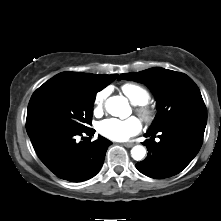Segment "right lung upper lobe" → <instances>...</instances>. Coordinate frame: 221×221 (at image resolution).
<instances>
[{
	"instance_id": "right-lung-upper-lobe-1",
	"label": "right lung upper lobe",
	"mask_w": 221,
	"mask_h": 221,
	"mask_svg": "<svg viewBox=\"0 0 221 221\" xmlns=\"http://www.w3.org/2000/svg\"><path fill=\"white\" fill-rule=\"evenodd\" d=\"M55 77L68 78L86 84L90 87L102 90L104 87L109 85L113 80L117 78V74L97 75L80 72H62L57 74Z\"/></svg>"
}]
</instances>
